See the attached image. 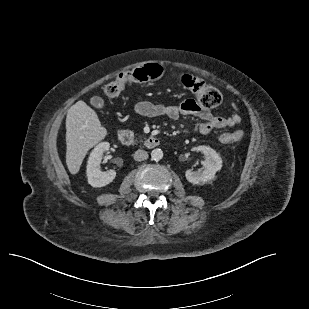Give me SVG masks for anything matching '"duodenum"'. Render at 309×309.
Wrapping results in <instances>:
<instances>
[{"label":"duodenum","instance_id":"1","mask_svg":"<svg viewBox=\"0 0 309 309\" xmlns=\"http://www.w3.org/2000/svg\"><path fill=\"white\" fill-rule=\"evenodd\" d=\"M117 137L123 145H131L134 141L133 132L129 129L118 130ZM144 144L147 148H155L160 144V140L155 136H149L145 139Z\"/></svg>","mask_w":309,"mask_h":309}]
</instances>
